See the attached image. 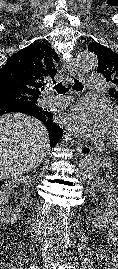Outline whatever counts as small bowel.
Segmentation results:
<instances>
[{
    "instance_id": "obj_1",
    "label": "small bowel",
    "mask_w": 118,
    "mask_h": 269,
    "mask_svg": "<svg viewBox=\"0 0 118 269\" xmlns=\"http://www.w3.org/2000/svg\"><path fill=\"white\" fill-rule=\"evenodd\" d=\"M118 220H116L112 229H110L107 233V239L109 243L118 249Z\"/></svg>"
}]
</instances>
